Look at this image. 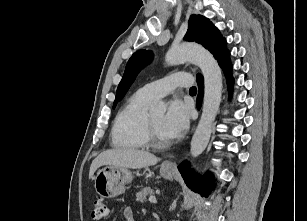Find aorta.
Wrapping results in <instances>:
<instances>
[{
  "instance_id": "762f6f07",
  "label": "aorta",
  "mask_w": 307,
  "mask_h": 221,
  "mask_svg": "<svg viewBox=\"0 0 307 221\" xmlns=\"http://www.w3.org/2000/svg\"><path fill=\"white\" fill-rule=\"evenodd\" d=\"M168 65H177L185 61H191L202 71L205 82L203 109L198 126L191 140L190 152L192 157H198L206 148L213 123L216 118L222 96V73L213 57L206 49L196 45H181L172 47L165 56ZM152 110L165 112L166 106L159 102Z\"/></svg>"
}]
</instances>
